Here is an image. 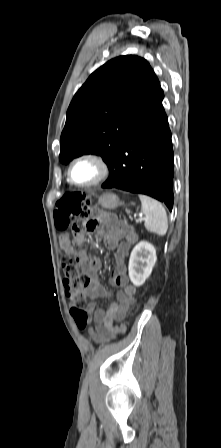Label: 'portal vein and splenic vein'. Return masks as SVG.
Wrapping results in <instances>:
<instances>
[{
  "mask_svg": "<svg viewBox=\"0 0 221 448\" xmlns=\"http://www.w3.org/2000/svg\"><path fill=\"white\" fill-rule=\"evenodd\" d=\"M144 220L143 217H140L139 219H136V223L142 222Z\"/></svg>",
  "mask_w": 221,
  "mask_h": 448,
  "instance_id": "obj_1",
  "label": "portal vein and splenic vein"
}]
</instances>
